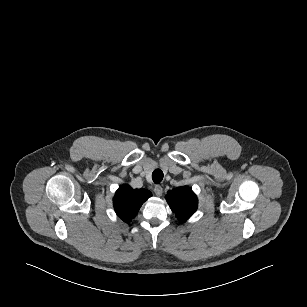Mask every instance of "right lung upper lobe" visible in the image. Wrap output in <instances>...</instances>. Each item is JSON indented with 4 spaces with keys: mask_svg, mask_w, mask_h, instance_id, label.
I'll return each mask as SVG.
<instances>
[{
    "mask_svg": "<svg viewBox=\"0 0 307 307\" xmlns=\"http://www.w3.org/2000/svg\"><path fill=\"white\" fill-rule=\"evenodd\" d=\"M151 196L152 193L146 189H133L129 185L121 186L113 198L116 214L124 222H130L141 205Z\"/></svg>",
    "mask_w": 307,
    "mask_h": 307,
    "instance_id": "obj_1",
    "label": "right lung upper lobe"
}]
</instances>
